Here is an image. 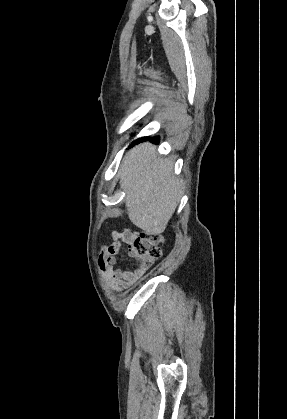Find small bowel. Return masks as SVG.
I'll list each match as a JSON object with an SVG mask.
<instances>
[{"label": "small bowel", "mask_w": 287, "mask_h": 419, "mask_svg": "<svg viewBox=\"0 0 287 419\" xmlns=\"http://www.w3.org/2000/svg\"><path fill=\"white\" fill-rule=\"evenodd\" d=\"M134 236L135 233L132 230L112 231L110 233L111 243L102 247L98 258V266L101 272L107 276L112 287L118 291L132 286L139 275L138 270L130 271L114 268L117 263V255L123 244L129 245L128 254L133 256L130 242Z\"/></svg>", "instance_id": "c3829d8e"}]
</instances>
